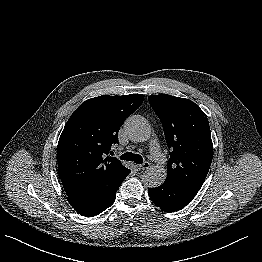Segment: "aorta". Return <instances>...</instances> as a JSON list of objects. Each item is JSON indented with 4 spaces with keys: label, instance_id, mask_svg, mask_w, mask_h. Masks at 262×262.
I'll list each match as a JSON object with an SVG mask.
<instances>
[{
    "label": "aorta",
    "instance_id": "1",
    "mask_svg": "<svg viewBox=\"0 0 262 262\" xmlns=\"http://www.w3.org/2000/svg\"><path fill=\"white\" fill-rule=\"evenodd\" d=\"M128 136L136 142H145L151 136V128L147 121L139 116L132 115L124 123ZM167 177V171L161 166H152L142 175V182L147 187L155 188L162 185Z\"/></svg>",
    "mask_w": 262,
    "mask_h": 262
}]
</instances>
